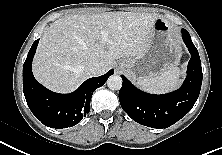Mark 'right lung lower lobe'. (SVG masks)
<instances>
[{
	"mask_svg": "<svg viewBox=\"0 0 222 155\" xmlns=\"http://www.w3.org/2000/svg\"><path fill=\"white\" fill-rule=\"evenodd\" d=\"M36 40L23 65V92L32 113L46 126L67 128L79 123L89 112L90 100L95 89L101 87L114 73L86 80L76 91L70 94L54 93L40 83L32 74V60L38 45Z\"/></svg>",
	"mask_w": 222,
	"mask_h": 155,
	"instance_id": "98d812e1",
	"label": "right lung lower lobe"
}]
</instances>
